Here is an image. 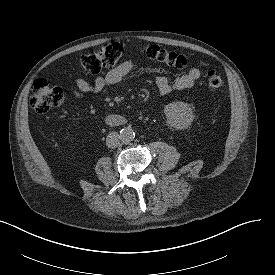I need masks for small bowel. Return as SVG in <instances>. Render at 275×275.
Masks as SVG:
<instances>
[{
  "label": "small bowel",
  "mask_w": 275,
  "mask_h": 275,
  "mask_svg": "<svg viewBox=\"0 0 275 275\" xmlns=\"http://www.w3.org/2000/svg\"><path fill=\"white\" fill-rule=\"evenodd\" d=\"M134 69L135 65L132 61H124L104 76L97 77L92 82L82 77L76 78L74 84L70 87V91L76 99H82L88 93H99L108 86L119 83L132 74ZM200 76L201 72L198 68H191L173 80L164 75H158L155 78V83L160 94H168L172 91L191 88Z\"/></svg>",
  "instance_id": "obj_1"
}]
</instances>
